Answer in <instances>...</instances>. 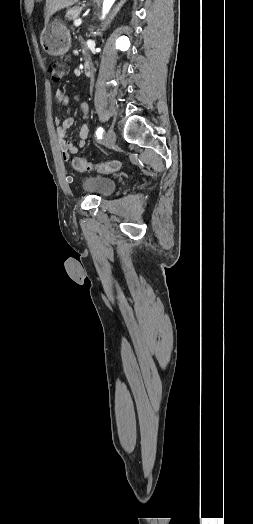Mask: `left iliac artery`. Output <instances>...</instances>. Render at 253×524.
<instances>
[{"label":"left iliac artery","instance_id":"1","mask_svg":"<svg viewBox=\"0 0 253 524\" xmlns=\"http://www.w3.org/2000/svg\"><path fill=\"white\" fill-rule=\"evenodd\" d=\"M102 134H103V128L102 127H99L96 131V135H97V138L98 139H101L102 138Z\"/></svg>","mask_w":253,"mask_h":524}]
</instances>
